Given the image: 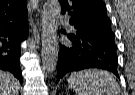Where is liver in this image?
<instances>
[{
  "mask_svg": "<svg viewBox=\"0 0 135 95\" xmlns=\"http://www.w3.org/2000/svg\"><path fill=\"white\" fill-rule=\"evenodd\" d=\"M19 81L9 72L0 70V95H18Z\"/></svg>",
  "mask_w": 135,
  "mask_h": 95,
  "instance_id": "1",
  "label": "liver"
}]
</instances>
